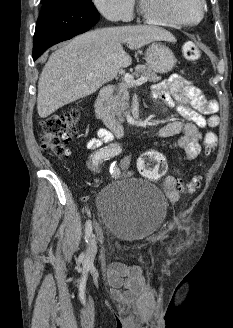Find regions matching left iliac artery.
Masks as SVG:
<instances>
[{
  "label": "left iliac artery",
  "mask_w": 233,
  "mask_h": 328,
  "mask_svg": "<svg viewBox=\"0 0 233 328\" xmlns=\"http://www.w3.org/2000/svg\"><path fill=\"white\" fill-rule=\"evenodd\" d=\"M110 172H111L113 177H118L119 176L120 171H119L118 167L115 165V162L111 165Z\"/></svg>",
  "instance_id": "1"
}]
</instances>
